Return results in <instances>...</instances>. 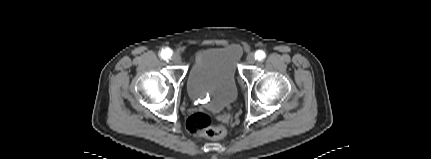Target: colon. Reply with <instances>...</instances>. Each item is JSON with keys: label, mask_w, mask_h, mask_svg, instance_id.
Masks as SVG:
<instances>
[{"label": "colon", "mask_w": 431, "mask_h": 159, "mask_svg": "<svg viewBox=\"0 0 431 159\" xmlns=\"http://www.w3.org/2000/svg\"><path fill=\"white\" fill-rule=\"evenodd\" d=\"M187 131L194 136H204L211 139H220L226 135L222 125H213L210 116L205 112H195L186 121Z\"/></svg>", "instance_id": "5ec220e1"}]
</instances>
